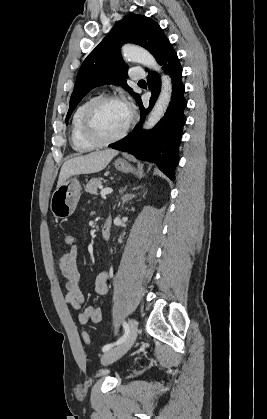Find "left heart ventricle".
<instances>
[{"label": "left heart ventricle", "mask_w": 267, "mask_h": 419, "mask_svg": "<svg viewBox=\"0 0 267 419\" xmlns=\"http://www.w3.org/2000/svg\"><path fill=\"white\" fill-rule=\"evenodd\" d=\"M130 112L122 102H107L93 116V127L98 135L109 138L118 134L127 124Z\"/></svg>", "instance_id": "1"}]
</instances>
